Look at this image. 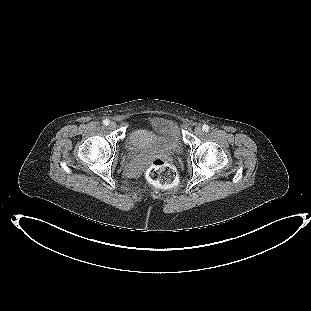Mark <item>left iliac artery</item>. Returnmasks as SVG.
I'll return each mask as SVG.
<instances>
[{"instance_id":"44dca946","label":"left iliac artery","mask_w":311,"mask_h":311,"mask_svg":"<svg viewBox=\"0 0 311 311\" xmlns=\"http://www.w3.org/2000/svg\"><path fill=\"white\" fill-rule=\"evenodd\" d=\"M209 126L208 125H206V124H204L203 126H202V130L203 131H205V132H208L209 131Z\"/></svg>"}]
</instances>
